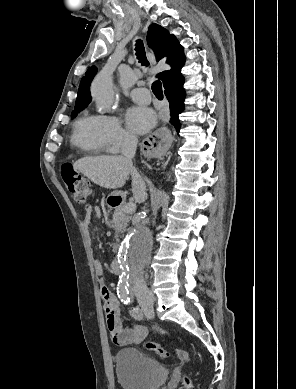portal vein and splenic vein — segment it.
<instances>
[{"mask_svg":"<svg viewBox=\"0 0 296 389\" xmlns=\"http://www.w3.org/2000/svg\"><path fill=\"white\" fill-rule=\"evenodd\" d=\"M136 209V204L133 202H129L124 206V211L125 212H133Z\"/></svg>","mask_w":296,"mask_h":389,"instance_id":"1","label":"portal vein and splenic vein"}]
</instances>
